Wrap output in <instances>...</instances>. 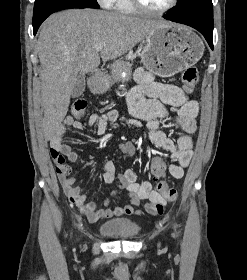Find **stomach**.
Listing matches in <instances>:
<instances>
[{
    "label": "stomach",
    "mask_w": 247,
    "mask_h": 280,
    "mask_svg": "<svg viewBox=\"0 0 247 280\" xmlns=\"http://www.w3.org/2000/svg\"><path fill=\"white\" fill-rule=\"evenodd\" d=\"M203 52L204 44L194 31L187 26L168 23L147 35L140 57L149 71L161 77H171L196 64ZM112 71L117 79L124 82L130 79L131 65L116 61ZM90 88L104 92L109 88V81L105 79L92 83Z\"/></svg>",
    "instance_id": "stomach-1"
}]
</instances>
